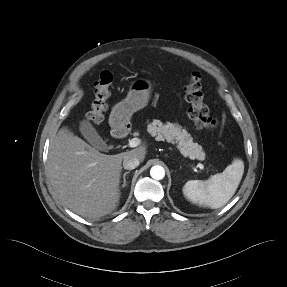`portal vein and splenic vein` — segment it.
<instances>
[{
  "label": "portal vein and splenic vein",
  "mask_w": 287,
  "mask_h": 287,
  "mask_svg": "<svg viewBox=\"0 0 287 287\" xmlns=\"http://www.w3.org/2000/svg\"><path fill=\"white\" fill-rule=\"evenodd\" d=\"M141 140L139 138H133L131 140H129V147L130 148H134V147H137L139 144H140ZM197 167L200 169V170H204V165L201 164V163H198L197 164Z\"/></svg>",
  "instance_id": "18ae733b"
}]
</instances>
